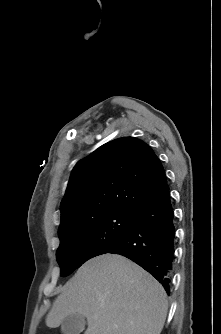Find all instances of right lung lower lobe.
<instances>
[{"instance_id":"1","label":"right lung lower lobe","mask_w":221,"mask_h":334,"mask_svg":"<svg viewBox=\"0 0 221 334\" xmlns=\"http://www.w3.org/2000/svg\"><path fill=\"white\" fill-rule=\"evenodd\" d=\"M174 240V213L166 184L134 213L133 220L120 241L105 253L131 259L152 274L169 294Z\"/></svg>"}]
</instances>
